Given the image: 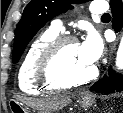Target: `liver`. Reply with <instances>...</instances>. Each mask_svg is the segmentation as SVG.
Masks as SVG:
<instances>
[{
  "mask_svg": "<svg viewBox=\"0 0 123 113\" xmlns=\"http://www.w3.org/2000/svg\"><path fill=\"white\" fill-rule=\"evenodd\" d=\"M17 99L25 103L26 105H29L46 113H49L50 111L62 109L63 107L67 106L71 102V99L68 96L59 97L51 100H41V99L36 100V99H28L24 97H18Z\"/></svg>",
  "mask_w": 123,
  "mask_h": 113,
  "instance_id": "1",
  "label": "liver"
}]
</instances>
